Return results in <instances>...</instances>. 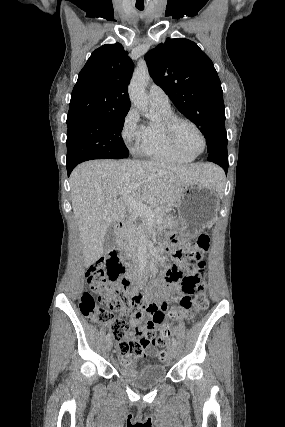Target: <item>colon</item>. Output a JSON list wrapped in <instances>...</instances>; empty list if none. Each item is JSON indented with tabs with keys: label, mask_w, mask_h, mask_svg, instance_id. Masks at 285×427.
Masks as SVG:
<instances>
[{
	"label": "colon",
	"mask_w": 285,
	"mask_h": 427,
	"mask_svg": "<svg viewBox=\"0 0 285 427\" xmlns=\"http://www.w3.org/2000/svg\"><path fill=\"white\" fill-rule=\"evenodd\" d=\"M182 247L183 249L174 252L177 264L206 253L209 249V238L202 235L196 239H185ZM177 264L168 268L165 281L186 291L187 295L181 299L182 313L192 320L193 317L189 315L192 310L198 312L208 306L201 272L204 262H196L200 274L185 273ZM86 279L88 287L81 292L80 312L90 322L108 326L121 360L131 364L145 351L153 350L160 361L166 362L168 354L164 347L171 336V328L165 320L173 318L177 313L163 314L164 322L145 327L141 336L134 339L130 335V317L140 308L138 295L115 286L116 283H120L125 289L132 286L125 263L117 254L112 253L92 264L86 272ZM107 308L120 312L121 316L114 318Z\"/></svg>",
	"instance_id": "obj_1"
}]
</instances>
